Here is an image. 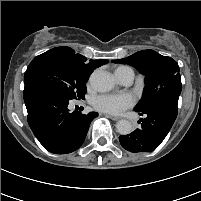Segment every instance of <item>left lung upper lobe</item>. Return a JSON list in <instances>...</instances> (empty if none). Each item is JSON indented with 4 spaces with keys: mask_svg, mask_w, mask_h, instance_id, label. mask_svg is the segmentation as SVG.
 <instances>
[{
    "mask_svg": "<svg viewBox=\"0 0 201 201\" xmlns=\"http://www.w3.org/2000/svg\"><path fill=\"white\" fill-rule=\"evenodd\" d=\"M128 64L145 75V89L135 111L144 110L160 101L178 103L182 84L178 64L171 58L153 50H142L127 58L113 60Z\"/></svg>",
    "mask_w": 201,
    "mask_h": 201,
    "instance_id": "obj_1",
    "label": "left lung upper lobe"
}]
</instances>
